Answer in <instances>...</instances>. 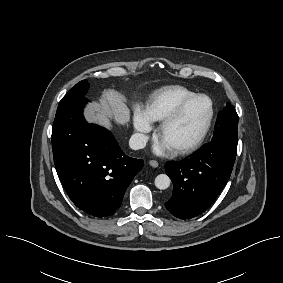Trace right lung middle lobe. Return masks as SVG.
<instances>
[{
    "instance_id": "1",
    "label": "right lung middle lobe",
    "mask_w": 283,
    "mask_h": 283,
    "mask_svg": "<svg viewBox=\"0 0 283 283\" xmlns=\"http://www.w3.org/2000/svg\"><path fill=\"white\" fill-rule=\"evenodd\" d=\"M88 87L89 84L86 80L80 81L63 97V99L59 103V106L84 97L88 90Z\"/></svg>"
}]
</instances>
